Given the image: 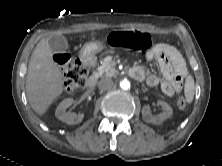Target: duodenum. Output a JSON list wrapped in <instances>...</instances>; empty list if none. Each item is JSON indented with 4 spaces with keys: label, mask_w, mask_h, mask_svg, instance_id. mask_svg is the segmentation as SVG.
Returning <instances> with one entry per match:
<instances>
[{
    "label": "duodenum",
    "mask_w": 222,
    "mask_h": 166,
    "mask_svg": "<svg viewBox=\"0 0 222 166\" xmlns=\"http://www.w3.org/2000/svg\"><path fill=\"white\" fill-rule=\"evenodd\" d=\"M82 61L84 65H86L90 69H92L96 64L95 58L90 55H85L82 58ZM130 75L137 80H140L142 78V74L137 70H130ZM97 79H98L97 75L95 73H92L86 81V87L88 89H93L97 83Z\"/></svg>",
    "instance_id": "410a0bca"
}]
</instances>
